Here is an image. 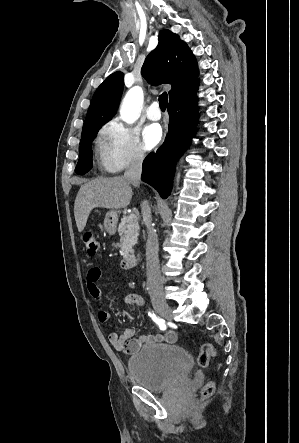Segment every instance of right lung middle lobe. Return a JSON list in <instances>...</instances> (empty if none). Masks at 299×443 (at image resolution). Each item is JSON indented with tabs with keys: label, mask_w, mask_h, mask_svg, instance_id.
<instances>
[{
	"label": "right lung middle lobe",
	"mask_w": 299,
	"mask_h": 443,
	"mask_svg": "<svg viewBox=\"0 0 299 443\" xmlns=\"http://www.w3.org/2000/svg\"><path fill=\"white\" fill-rule=\"evenodd\" d=\"M101 127L94 128L82 135L80 141V157L76 166L75 172L77 174H85L92 168V147L91 142L95 138L98 130Z\"/></svg>",
	"instance_id": "dd1d6c3e"
}]
</instances>
